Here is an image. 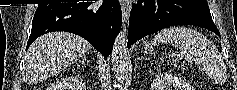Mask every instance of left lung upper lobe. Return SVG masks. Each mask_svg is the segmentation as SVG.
<instances>
[{"label":"left lung upper lobe","mask_w":237,"mask_h":90,"mask_svg":"<svg viewBox=\"0 0 237 90\" xmlns=\"http://www.w3.org/2000/svg\"><path fill=\"white\" fill-rule=\"evenodd\" d=\"M193 1H197V2L206 3V1H204V0H193Z\"/></svg>","instance_id":"5c2ea615"}]
</instances>
